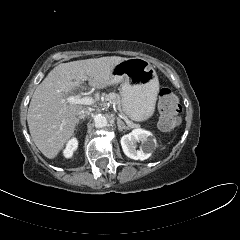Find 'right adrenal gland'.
<instances>
[{
    "mask_svg": "<svg viewBox=\"0 0 240 240\" xmlns=\"http://www.w3.org/2000/svg\"><path fill=\"white\" fill-rule=\"evenodd\" d=\"M81 119L84 120V118H82V117H78V118H77V127H78V125H79Z\"/></svg>",
    "mask_w": 240,
    "mask_h": 240,
    "instance_id": "right-adrenal-gland-1",
    "label": "right adrenal gland"
}]
</instances>
